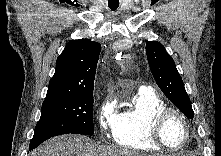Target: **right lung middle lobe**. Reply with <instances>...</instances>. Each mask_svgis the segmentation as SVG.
Returning a JSON list of instances; mask_svg holds the SVG:
<instances>
[{"label": "right lung middle lobe", "mask_w": 221, "mask_h": 156, "mask_svg": "<svg viewBox=\"0 0 221 156\" xmlns=\"http://www.w3.org/2000/svg\"><path fill=\"white\" fill-rule=\"evenodd\" d=\"M93 102V91L65 98L45 99L30 150L57 135L94 134Z\"/></svg>", "instance_id": "1"}]
</instances>
